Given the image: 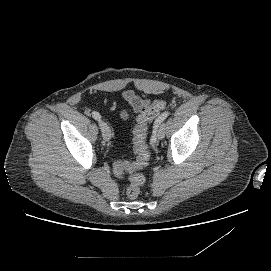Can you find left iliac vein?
Listing matches in <instances>:
<instances>
[{"mask_svg":"<svg viewBox=\"0 0 271 271\" xmlns=\"http://www.w3.org/2000/svg\"><path fill=\"white\" fill-rule=\"evenodd\" d=\"M165 137V125L161 124L158 130V139H163Z\"/></svg>","mask_w":271,"mask_h":271,"instance_id":"1","label":"left iliac vein"}]
</instances>
